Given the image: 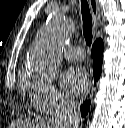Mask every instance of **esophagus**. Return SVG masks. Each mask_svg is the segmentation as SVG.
<instances>
[{
  "label": "esophagus",
  "mask_w": 125,
  "mask_h": 128,
  "mask_svg": "<svg viewBox=\"0 0 125 128\" xmlns=\"http://www.w3.org/2000/svg\"><path fill=\"white\" fill-rule=\"evenodd\" d=\"M89 5L93 18V26L96 29L100 22V10L98 0H89Z\"/></svg>",
  "instance_id": "obj_1"
}]
</instances>
